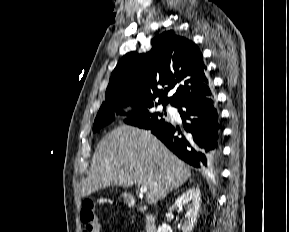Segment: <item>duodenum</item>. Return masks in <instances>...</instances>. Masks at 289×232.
<instances>
[{
  "mask_svg": "<svg viewBox=\"0 0 289 232\" xmlns=\"http://www.w3.org/2000/svg\"><path fill=\"white\" fill-rule=\"evenodd\" d=\"M125 201L130 207H135L134 198L130 194H125ZM144 215V224L146 232H156V217L148 212L145 207H139Z\"/></svg>",
  "mask_w": 289,
  "mask_h": 232,
  "instance_id": "duodenum-1",
  "label": "duodenum"
}]
</instances>
